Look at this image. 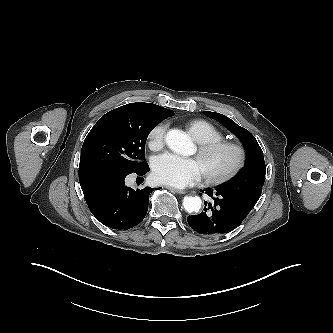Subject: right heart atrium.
I'll list each match as a JSON object with an SVG mask.
<instances>
[{
	"instance_id": "d8ad5b80",
	"label": "right heart atrium",
	"mask_w": 333,
	"mask_h": 333,
	"mask_svg": "<svg viewBox=\"0 0 333 333\" xmlns=\"http://www.w3.org/2000/svg\"><path fill=\"white\" fill-rule=\"evenodd\" d=\"M166 128L165 123H159L149 131L148 146L151 150H159L163 146Z\"/></svg>"
}]
</instances>
